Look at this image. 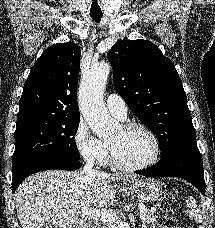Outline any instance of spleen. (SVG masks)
I'll use <instances>...</instances> for the list:
<instances>
[{
	"label": "spleen",
	"instance_id": "1",
	"mask_svg": "<svg viewBox=\"0 0 215 228\" xmlns=\"http://www.w3.org/2000/svg\"><path fill=\"white\" fill-rule=\"evenodd\" d=\"M187 206H190V208H192L191 216H194V218H196V220H197V218H199V216H200V212H198L197 206H196L193 198H188Z\"/></svg>",
	"mask_w": 215,
	"mask_h": 228
}]
</instances>
